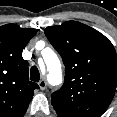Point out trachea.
Listing matches in <instances>:
<instances>
[{"label":"trachea","mask_w":117,"mask_h":117,"mask_svg":"<svg viewBox=\"0 0 117 117\" xmlns=\"http://www.w3.org/2000/svg\"><path fill=\"white\" fill-rule=\"evenodd\" d=\"M30 78L34 82H38L40 80L39 70L36 66H32L30 69Z\"/></svg>","instance_id":"1"}]
</instances>
